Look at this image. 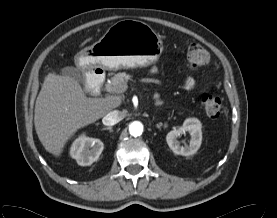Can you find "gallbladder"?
Here are the masks:
<instances>
[{
    "instance_id": "obj_1",
    "label": "gallbladder",
    "mask_w": 277,
    "mask_h": 218,
    "mask_svg": "<svg viewBox=\"0 0 277 218\" xmlns=\"http://www.w3.org/2000/svg\"><path fill=\"white\" fill-rule=\"evenodd\" d=\"M62 74L68 77H71L73 79H75L76 81L85 82V78L82 76V74L80 73V71L73 67V66H68L62 69Z\"/></svg>"
}]
</instances>
